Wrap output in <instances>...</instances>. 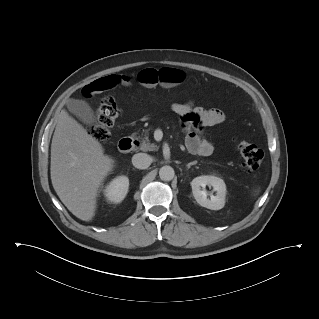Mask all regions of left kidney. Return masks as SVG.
Here are the masks:
<instances>
[{
  "label": "left kidney",
  "instance_id": "left-kidney-1",
  "mask_svg": "<svg viewBox=\"0 0 319 319\" xmlns=\"http://www.w3.org/2000/svg\"><path fill=\"white\" fill-rule=\"evenodd\" d=\"M206 186H212L216 192V195H211L210 199L207 198ZM191 187L195 200L201 206L211 210H220L224 207L226 185L223 179L212 175H203L194 178L191 182Z\"/></svg>",
  "mask_w": 319,
  "mask_h": 319
}]
</instances>
